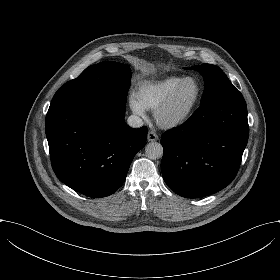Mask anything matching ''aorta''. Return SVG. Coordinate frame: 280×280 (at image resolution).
I'll use <instances>...</instances> for the list:
<instances>
[{
	"instance_id": "aorta-1",
	"label": "aorta",
	"mask_w": 280,
	"mask_h": 280,
	"mask_svg": "<svg viewBox=\"0 0 280 280\" xmlns=\"http://www.w3.org/2000/svg\"><path fill=\"white\" fill-rule=\"evenodd\" d=\"M145 153L150 159H158L163 155V147L158 142H150L145 148Z\"/></svg>"
}]
</instances>
